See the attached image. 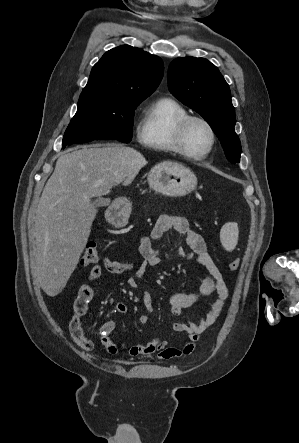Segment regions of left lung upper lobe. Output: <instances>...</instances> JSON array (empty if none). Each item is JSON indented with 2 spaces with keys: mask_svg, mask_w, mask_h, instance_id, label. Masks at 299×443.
<instances>
[{
  "mask_svg": "<svg viewBox=\"0 0 299 443\" xmlns=\"http://www.w3.org/2000/svg\"><path fill=\"white\" fill-rule=\"evenodd\" d=\"M168 87L179 101L208 122L227 159L239 163L241 144L234 130L235 109L229 86L218 68L203 58H177L169 65Z\"/></svg>",
  "mask_w": 299,
  "mask_h": 443,
  "instance_id": "5c2ea615",
  "label": "left lung upper lobe"
}]
</instances>
